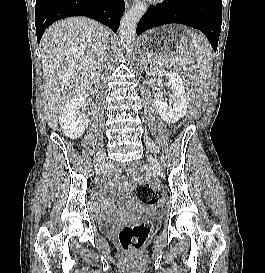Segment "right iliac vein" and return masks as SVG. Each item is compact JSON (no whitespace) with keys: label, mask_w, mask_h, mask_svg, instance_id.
I'll use <instances>...</instances> for the list:
<instances>
[{"label":"right iliac vein","mask_w":265,"mask_h":273,"mask_svg":"<svg viewBox=\"0 0 265 273\" xmlns=\"http://www.w3.org/2000/svg\"><path fill=\"white\" fill-rule=\"evenodd\" d=\"M105 162V151L103 149H100L97 153V174H100L101 166Z\"/></svg>","instance_id":"right-iliac-vein-1"}]
</instances>
